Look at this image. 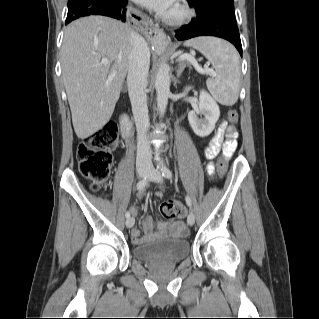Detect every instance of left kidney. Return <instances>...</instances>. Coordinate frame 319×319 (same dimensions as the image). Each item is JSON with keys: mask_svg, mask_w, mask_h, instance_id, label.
I'll list each match as a JSON object with an SVG mask.
<instances>
[{"mask_svg": "<svg viewBox=\"0 0 319 319\" xmlns=\"http://www.w3.org/2000/svg\"><path fill=\"white\" fill-rule=\"evenodd\" d=\"M192 87H186L188 92ZM204 115V118H199L198 115ZM220 116V109L216 101L204 90L200 91L199 107L197 110H192L188 113L189 123L194 133L200 137L208 136L215 128V124Z\"/></svg>", "mask_w": 319, "mask_h": 319, "instance_id": "5707ae66", "label": "left kidney"}]
</instances>
